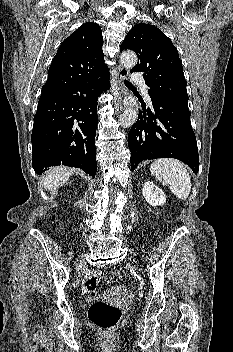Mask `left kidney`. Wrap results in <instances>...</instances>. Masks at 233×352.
Returning a JSON list of instances; mask_svg holds the SVG:
<instances>
[{
    "label": "left kidney",
    "mask_w": 233,
    "mask_h": 352,
    "mask_svg": "<svg viewBox=\"0 0 233 352\" xmlns=\"http://www.w3.org/2000/svg\"><path fill=\"white\" fill-rule=\"evenodd\" d=\"M142 194L145 201L152 206H160L166 202L164 192L151 181L144 183Z\"/></svg>",
    "instance_id": "obj_1"
}]
</instances>
